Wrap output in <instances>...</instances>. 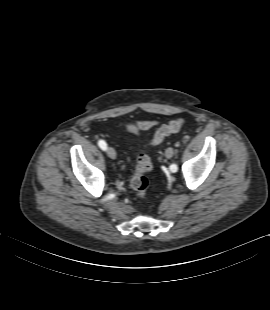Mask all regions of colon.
<instances>
[{
  "label": "colon",
  "mask_w": 270,
  "mask_h": 310,
  "mask_svg": "<svg viewBox=\"0 0 270 310\" xmlns=\"http://www.w3.org/2000/svg\"><path fill=\"white\" fill-rule=\"evenodd\" d=\"M183 120L178 118L171 120L166 125L160 127L153 138L151 139L152 145H158L163 142V140L178 131L183 126ZM152 169V162L150 157L147 154H140L137 157L135 173L131 179V187L135 191V194L138 199L143 200L147 195V190L149 186V181L147 178V173Z\"/></svg>",
  "instance_id": "1"
}]
</instances>
